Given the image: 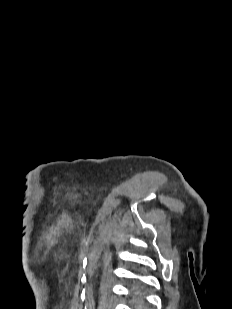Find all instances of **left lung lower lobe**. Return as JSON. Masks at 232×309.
<instances>
[{"label":"left lung lower lobe","instance_id":"1","mask_svg":"<svg viewBox=\"0 0 232 309\" xmlns=\"http://www.w3.org/2000/svg\"><path fill=\"white\" fill-rule=\"evenodd\" d=\"M135 296V303L138 305V306H140V305H142V300H141V295H140V293L139 292H135V294H134Z\"/></svg>","mask_w":232,"mask_h":309}]
</instances>
